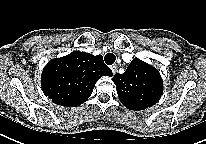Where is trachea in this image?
Segmentation results:
<instances>
[{
  "mask_svg": "<svg viewBox=\"0 0 206 144\" xmlns=\"http://www.w3.org/2000/svg\"><path fill=\"white\" fill-rule=\"evenodd\" d=\"M104 60L108 65H112L115 62L116 57L113 53H107L104 57Z\"/></svg>",
  "mask_w": 206,
  "mask_h": 144,
  "instance_id": "1",
  "label": "trachea"
}]
</instances>
